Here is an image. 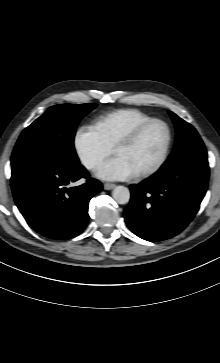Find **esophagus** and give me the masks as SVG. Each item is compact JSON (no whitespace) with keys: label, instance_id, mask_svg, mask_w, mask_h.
Wrapping results in <instances>:
<instances>
[{"label":"esophagus","instance_id":"obj_1","mask_svg":"<svg viewBox=\"0 0 220 363\" xmlns=\"http://www.w3.org/2000/svg\"><path fill=\"white\" fill-rule=\"evenodd\" d=\"M115 186H116V185H115V184H113V183H105V184H104V189H105V190H111V189H113Z\"/></svg>","mask_w":220,"mask_h":363}]
</instances>
